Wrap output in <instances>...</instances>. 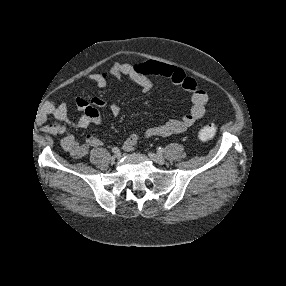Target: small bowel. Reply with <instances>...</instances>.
Here are the masks:
<instances>
[{
	"mask_svg": "<svg viewBox=\"0 0 286 286\" xmlns=\"http://www.w3.org/2000/svg\"><path fill=\"white\" fill-rule=\"evenodd\" d=\"M149 75H158L169 79L175 84L181 85L189 94L191 106L189 111L180 119H169L161 125L148 128L145 138L155 136H167L187 130L197 120L201 119L205 114L206 104L208 102L207 94L198 86L194 78L189 76L183 69L158 62H144L136 64L115 63L108 70L101 73H93L89 75V79L99 88H104L110 77H128L140 90L148 93L153 89L154 83ZM76 105L82 115L78 118H71L68 115V108L65 103H54L49 107V113L56 118L72 127L84 129L91 124H99L102 122V114L98 108L105 105L103 99L95 97L91 102L82 98L76 99ZM110 112L118 115L121 107L117 102L110 105ZM45 130L52 134H64L61 140L62 149L75 159L82 158L88 151L89 147H96L102 144V141L93 135L86 137L85 143H80L65 126L60 124L46 125ZM139 141L137 134L132 133L123 143V149L133 151Z\"/></svg>",
	"mask_w": 286,
	"mask_h": 286,
	"instance_id": "c3829d8e",
	"label": "small bowel"
}]
</instances>
